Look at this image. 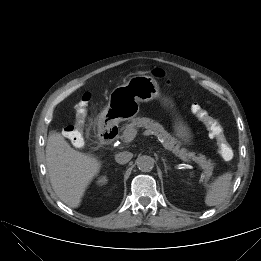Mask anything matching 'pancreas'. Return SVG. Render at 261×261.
Segmentation results:
<instances>
[{
    "instance_id": "1",
    "label": "pancreas",
    "mask_w": 261,
    "mask_h": 261,
    "mask_svg": "<svg viewBox=\"0 0 261 261\" xmlns=\"http://www.w3.org/2000/svg\"><path fill=\"white\" fill-rule=\"evenodd\" d=\"M139 127H144L148 131H152L155 136L162 139L164 141V147L167 150L172 151L173 153H177L185 156L188 159H192L196 163H198L202 169H204V179L208 181L212 176V171L214 168V164L207 160L204 155L195 156L192 152H187L185 149H180V145L176 138L172 137L170 133H168L161 124L155 122L152 119L146 117H137L132 118L131 123L127 124L123 131V137H125L126 133L130 130L137 129Z\"/></svg>"
}]
</instances>
